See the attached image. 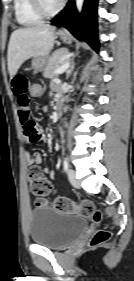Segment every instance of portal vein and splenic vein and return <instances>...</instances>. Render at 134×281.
Instances as JSON below:
<instances>
[{"label": "portal vein and splenic vein", "mask_w": 134, "mask_h": 281, "mask_svg": "<svg viewBox=\"0 0 134 281\" xmlns=\"http://www.w3.org/2000/svg\"><path fill=\"white\" fill-rule=\"evenodd\" d=\"M69 66H70V62H66L62 66L57 68L54 73L56 75L62 74V73H64L68 69Z\"/></svg>", "instance_id": "obj_1"}]
</instances>
